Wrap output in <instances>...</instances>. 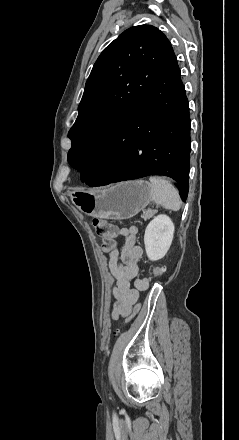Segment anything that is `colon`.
<instances>
[{
  "label": "colon",
  "instance_id": "colon-1",
  "mask_svg": "<svg viewBox=\"0 0 239 440\" xmlns=\"http://www.w3.org/2000/svg\"><path fill=\"white\" fill-rule=\"evenodd\" d=\"M93 225L96 233L100 236L103 241L104 249L109 251L114 245V239L116 234L115 226L108 220L103 218H94ZM164 272L162 267H156L152 271V277H159ZM139 311V306L134 308L133 314L127 319L131 320L132 317Z\"/></svg>",
  "mask_w": 239,
  "mask_h": 440
}]
</instances>
